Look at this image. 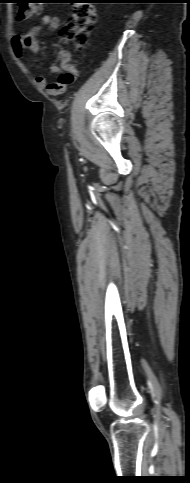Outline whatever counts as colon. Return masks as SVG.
<instances>
[{
	"label": "colon",
	"instance_id": "obj_1",
	"mask_svg": "<svg viewBox=\"0 0 190 483\" xmlns=\"http://www.w3.org/2000/svg\"><path fill=\"white\" fill-rule=\"evenodd\" d=\"M18 17L31 19L40 11V0H20ZM96 22L95 8L90 4H75L71 16L67 19L62 30V39L72 41L78 50H82L89 38ZM53 72H58L56 66L51 67ZM75 80L74 75L66 71L59 75L56 89L62 90L71 85Z\"/></svg>",
	"mask_w": 190,
	"mask_h": 483
}]
</instances>
